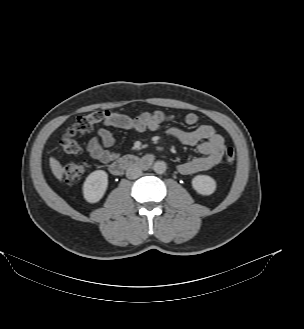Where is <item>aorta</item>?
Masks as SVG:
<instances>
[{"mask_svg":"<svg viewBox=\"0 0 304 329\" xmlns=\"http://www.w3.org/2000/svg\"><path fill=\"white\" fill-rule=\"evenodd\" d=\"M166 163L164 161H156L153 164V170L158 173V174H162L166 171Z\"/></svg>","mask_w":304,"mask_h":329,"instance_id":"aorta-1","label":"aorta"}]
</instances>
